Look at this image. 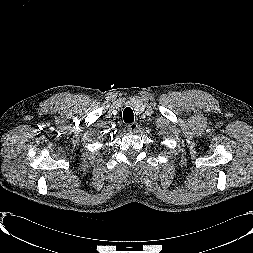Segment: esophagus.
<instances>
[{
    "mask_svg": "<svg viewBox=\"0 0 253 253\" xmlns=\"http://www.w3.org/2000/svg\"><path fill=\"white\" fill-rule=\"evenodd\" d=\"M128 131L135 132L138 129V123L133 122L127 126Z\"/></svg>",
    "mask_w": 253,
    "mask_h": 253,
    "instance_id": "esophagus-1",
    "label": "esophagus"
}]
</instances>
